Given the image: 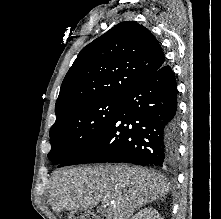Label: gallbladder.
Wrapping results in <instances>:
<instances>
[{
    "label": "gallbladder",
    "instance_id": "1",
    "mask_svg": "<svg viewBox=\"0 0 221 219\" xmlns=\"http://www.w3.org/2000/svg\"><path fill=\"white\" fill-rule=\"evenodd\" d=\"M99 212H102V211H104V209L103 208H99V210H98Z\"/></svg>",
    "mask_w": 221,
    "mask_h": 219
}]
</instances>
